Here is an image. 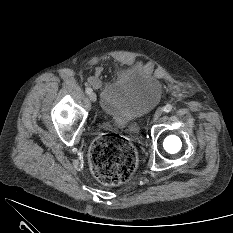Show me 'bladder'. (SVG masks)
<instances>
[{
	"mask_svg": "<svg viewBox=\"0 0 233 233\" xmlns=\"http://www.w3.org/2000/svg\"><path fill=\"white\" fill-rule=\"evenodd\" d=\"M163 93L162 83L141 66L125 68L100 88L99 105L116 122H130L152 110Z\"/></svg>",
	"mask_w": 233,
	"mask_h": 233,
	"instance_id": "obj_1",
	"label": "bladder"
}]
</instances>
